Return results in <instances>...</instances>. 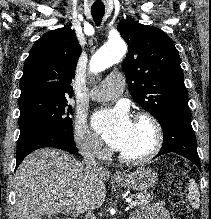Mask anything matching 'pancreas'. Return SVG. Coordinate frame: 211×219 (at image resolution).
<instances>
[{
  "instance_id": "pancreas-1",
  "label": "pancreas",
  "mask_w": 211,
  "mask_h": 219,
  "mask_svg": "<svg viewBox=\"0 0 211 219\" xmlns=\"http://www.w3.org/2000/svg\"><path fill=\"white\" fill-rule=\"evenodd\" d=\"M131 197L135 200L138 206L148 205L152 202L153 194L145 192L141 194H132Z\"/></svg>"
}]
</instances>
